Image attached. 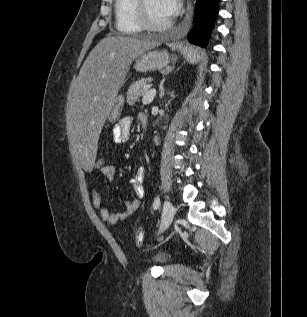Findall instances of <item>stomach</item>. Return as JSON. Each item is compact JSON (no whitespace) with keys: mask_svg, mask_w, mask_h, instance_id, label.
I'll use <instances>...</instances> for the list:
<instances>
[{"mask_svg":"<svg viewBox=\"0 0 307 317\" xmlns=\"http://www.w3.org/2000/svg\"><path fill=\"white\" fill-rule=\"evenodd\" d=\"M170 63V55L167 51H146L139 55L135 61L134 68L139 72L155 71L166 67ZM124 104V97L117 95L108 119L115 122L119 119Z\"/></svg>","mask_w":307,"mask_h":317,"instance_id":"0dacf381","label":"stomach"}]
</instances>
